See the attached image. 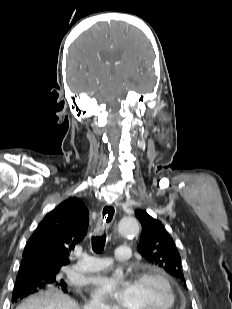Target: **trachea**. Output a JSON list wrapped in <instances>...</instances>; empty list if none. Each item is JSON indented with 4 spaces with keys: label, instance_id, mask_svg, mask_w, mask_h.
<instances>
[{
    "label": "trachea",
    "instance_id": "1",
    "mask_svg": "<svg viewBox=\"0 0 232 309\" xmlns=\"http://www.w3.org/2000/svg\"><path fill=\"white\" fill-rule=\"evenodd\" d=\"M106 235L92 236V249L95 253H101L104 250Z\"/></svg>",
    "mask_w": 232,
    "mask_h": 309
}]
</instances>
